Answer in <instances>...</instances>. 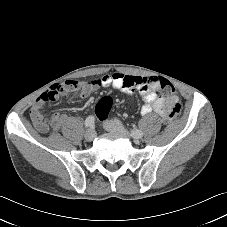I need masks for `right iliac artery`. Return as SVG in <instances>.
Segmentation results:
<instances>
[{
  "label": "right iliac artery",
  "instance_id": "1",
  "mask_svg": "<svg viewBox=\"0 0 227 227\" xmlns=\"http://www.w3.org/2000/svg\"><path fill=\"white\" fill-rule=\"evenodd\" d=\"M94 122H95L94 116H89L86 118L84 125L85 127H92L94 125Z\"/></svg>",
  "mask_w": 227,
  "mask_h": 227
}]
</instances>
